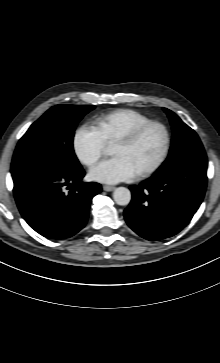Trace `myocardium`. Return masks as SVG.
<instances>
[{
    "label": "myocardium",
    "mask_w": 220,
    "mask_h": 363,
    "mask_svg": "<svg viewBox=\"0 0 220 363\" xmlns=\"http://www.w3.org/2000/svg\"><path fill=\"white\" fill-rule=\"evenodd\" d=\"M152 127H157L163 132V148L158 159L151 166L147 167L146 169L140 171L137 174L138 178H144L152 175L153 173L157 172L166 162L171 148V133L168 127L161 121L151 120L122 135L114 142V144L131 145L135 143L148 129Z\"/></svg>",
    "instance_id": "obj_1"
}]
</instances>
